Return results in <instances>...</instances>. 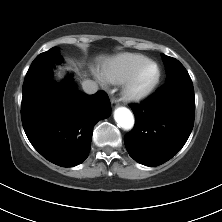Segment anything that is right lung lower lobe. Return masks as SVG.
Wrapping results in <instances>:
<instances>
[{
	"label": "right lung lower lobe",
	"mask_w": 222,
	"mask_h": 222,
	"mask_svg": "<svg viewBox=\"0 0 222 222\" xmlns=\"http://www.w3.org/2000/svg\"><path fill=\"white\" fill-rule=\"evenodd\" d=\"M110 113L106 93L86 95L71 85L36 89L21 103L27 138L44 158L62 167L87 158L94 125Z\"/></svg>",
	"instance_id": "obj_1"
}]
</instances>
